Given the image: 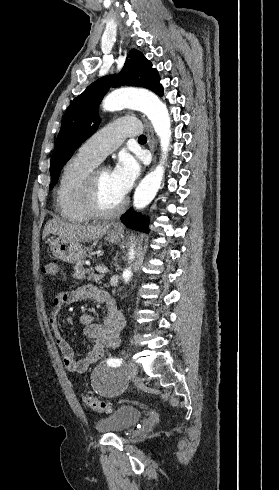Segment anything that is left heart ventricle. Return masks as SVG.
<instances>
[{
	"label": "left heart ventricle",
	"mask_w": 279,
	"mask_h": 490,
	"mask_svg": "<svg viewBox=\"0 0 279 490\" xmlns=\"http://www.w3.org/2000/svg\"><path fill=\"white\" fill-rule=\"evenodd\" d=\"M110 175L111 172L107 170H102L99 174L100 199L102 205L106 208H111L121 201V199L115 193Z\"/></svg>",
	"instance_id": "obj_1"
}]
</instances>
